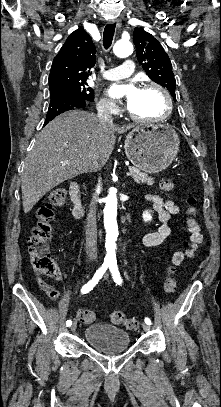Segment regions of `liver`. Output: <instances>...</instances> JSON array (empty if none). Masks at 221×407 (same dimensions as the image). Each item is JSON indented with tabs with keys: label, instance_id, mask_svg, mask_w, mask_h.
Returning <instances> with one entry per match:
<instances>
[{
	"label": "liver",
	"instance_id": "obj_1",
	"mask_svg": "<svg viewBox=\"0 0 221 407\" xmlns=\"http://www.w3.org/2000/svg\"><path fill=\"white\" fill-rule=\"evenodd\" d=\"M132 127H103L93 113L83 110L65 112L49 122L25 160L21 178L24 213L64 181L94 172L97 163L102 168L114 149L116 133Z\"/></svg>",
	"mask_w": 221,
	"mask_h": 407
}]
</instances>
